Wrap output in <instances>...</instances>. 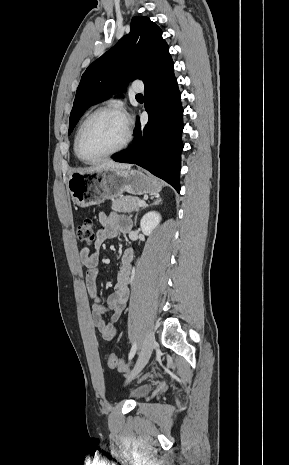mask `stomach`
Returning <instances> with one entry per match:
<instances>
[{
  "instance_id": "1",
  "label": "stomach",
  "mask_w": 289,
  "mask_h": 465,
  "mask_svg": "<svg viewBox=\"0 0 289 465\" xmlns=\"http://www.w3.org/2000/svg\"><path fill=\"white\" fill-rule=\"evenodd\" d=\"M67 188L74 204L85 208L114 199L124 192L134 195L156 194L162 189V184L139 170L101 169L71 174Z\"/></svg>"
}]
</instances>
